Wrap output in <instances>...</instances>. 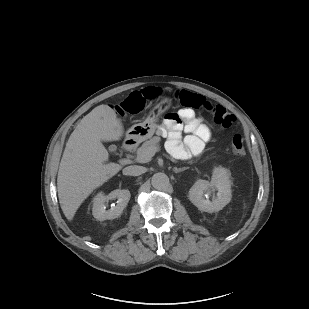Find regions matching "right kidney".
Here are the masks:
<instances>
[{"label": "right kidney", "instance_id": "right-kidney-1", "mask_svg": "<svg viewBox=\"0 0 309 309\" xmlns=\"http://www.w3.org/2000/svg\"><path fill=\"white\" fill-rule=\"evenodd\" d=\"M130 197L131 194L129 190L116 189L106 196L102 193H98L93 199L92 214L94 218L99 221L117 218L127 206ZM114 199H117V205L113 206L109 210H106L105 203Z\"/></svg>", "mask_w": 309, "mask_h": 309}]
</instances>
